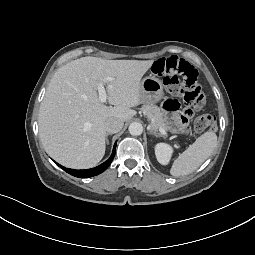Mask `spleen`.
I'll return each mask as SVG.
<instances>
[{"label": "spleen", "instance_id": "spleen-1", "mask_svg": "<svg viewBox=\"0 0 255 255\" xmlns=\"http://www.w3.org/2000/svg\"><path fill=\"white\" fill-rule=\"evenodd\" d=\"M216 146L217 135L212 131L205 132L173 161L170 174L179 177L192 173L213 153Z\"/></svg>", "mask_w": 255, "mask_h": 255}]
</instances>
